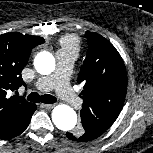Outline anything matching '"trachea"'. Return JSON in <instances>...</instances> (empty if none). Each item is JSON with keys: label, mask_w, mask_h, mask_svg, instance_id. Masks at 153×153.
<instances>
[{"label": "trachea", "mask_w": 153, "mask_h": 153, "mask_svg": "<svg viewBox=\"0 0 153 153\" xmlns=\"http://www.w3.org/2000/svg\"><path fill=\"white\" fill-rule=\"evenodd\" d=\"M27 99L34 103H46V104H53L57 101V99L49 94L39 95L37 92H32L28 95Z\"/></svg>", "instance_id": "obj_1"}]
</instances>
